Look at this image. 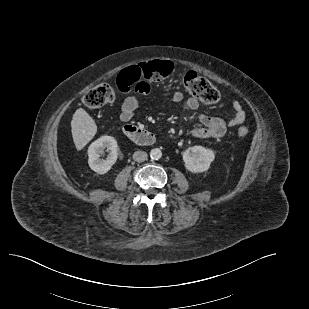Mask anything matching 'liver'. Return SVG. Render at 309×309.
I'll return each mask as SVG.
<instances>
[{"instance_id": "obj_1", "label": "liver", "mask_w": 309, "mask_h": 309, "mask_svg": "<svg viewBox=\"0 0 309 309\" xmlns=\"http://www.w3.org/2000/svg\"><path fill=\"white\" fill-rule=\"evenodd\" d=\"M71 132L76 149L81 150L95 136L97 125L84 109L79 108L73 114Z\"/></svg>"}]
</instances>
